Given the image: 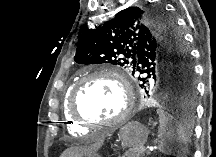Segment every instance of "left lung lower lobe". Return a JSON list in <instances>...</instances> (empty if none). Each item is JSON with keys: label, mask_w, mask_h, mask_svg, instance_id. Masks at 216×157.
<instances>
[{"label": "left lung lower lobe", "mask_w": 216, "mask_h": 157, "mask_svg": "<svg viewBox=\"0 0 216 157\" xmlns=\"http://www.w3.org/2000/svg\"><path fill=\"white\" fill-rule=\"evenodd\" d=\"M183 118H184L183 121L187 127L189 125L191 119H190V117H188V115H185Z\"/></svg>", "instance_id": "obj_1"}]
</instances>
